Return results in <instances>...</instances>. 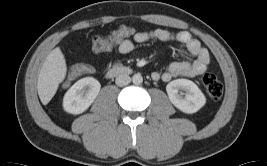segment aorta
<instances>
[{
  "label": "aorta",
  "instance_id": "aorta-1",
  "mask_svg": "<svg viewBox=\"0 0 267 166\" xmlns=\"http://www.w3.org/2000/svg\"><path fill=\"white\" fill-rule=\"evenodd\" d=\"M132 82L136 85H139L143 82V77L141 74L137 73V74H134L133 77H132Z\"/></svg>",
  "mask_w": 267,
  "mask_h": 166
}]
</instances>
